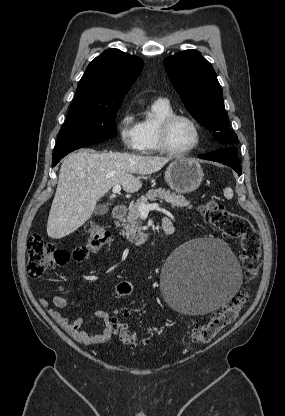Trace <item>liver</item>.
Segmentation results:
<instances>
[{
  "instance_id": "liver-1",
  "label": "liver",
  "mask_w": 285,
  "mask_h": 416,
  "mask_svg": "<svg viewBox=\"0 0 285 416\" xmlns=\"http://www.w3.org/2000/svg\"><path fill=\"white\" fill-rule=\"evenodd\" d=\"M170 158L137 156L95 150H78L64 160L59 182L52 202L47 234L61 240L73 234L91 218L98 200L113 186H122L124 192L134 194L142 188V182L133 174H155Z\"/></svg>"
}]
</instances>
